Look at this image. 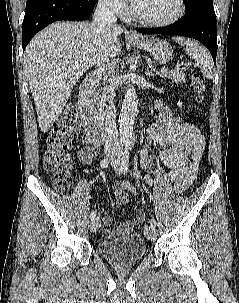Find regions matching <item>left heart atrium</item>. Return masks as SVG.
Listing matches in <instances>:
<instances>
[{"instance_id":"39dd6f15","label":"left heart atrium","mask_w":239,"mask_h":303,"mask_svg":"<svg viewBox=\"0 0 239 303\" xmlns=\"http://www.w3.org/2000/svg\"><path fill=\"white\" fill-rule=\"evenodd\" d=\"M140 0H131V2L134 4V6L139 2Z\"/></svg>"}]
</instances>
